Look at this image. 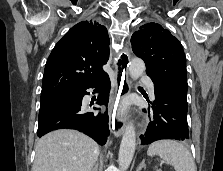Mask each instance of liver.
<instances>
[{"label": "liver", "mask_w": 223, "mask_h": 171, "mask_svg": "<svg viewBox=\"0 0 223 171\" xmlns=\"http://www.w3.org/2000/svg\"><path fill=\"white\" fill-rule=\"evenodd\" d=\"M98 155V144L85 134L56 130L38 140L32 171H91Z\"/></svg>", "instance_id": "obj_1"}]
</instances>
